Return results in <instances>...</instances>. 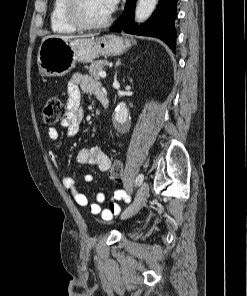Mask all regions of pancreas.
I'll use <instances>...</instances> for the list:
<instances>
[{"mask_svg":"<svg viewBox=\"0 0 247 296\" xmlns=\"http://www.w3.org/2000/svg\"><path fill=\"white\" fill-rule=\"evenodd\" d=\"M107 65L106 60H97L91 63L89 66H86L89 75L94 77L95 79L99 78V72Z\"/></svg>","mask_w":247,"mask_h":296,"instance_id":"cf45deb5","label":"pancreas"}]
</instances>
